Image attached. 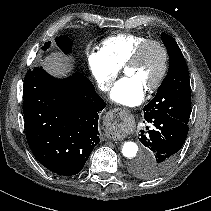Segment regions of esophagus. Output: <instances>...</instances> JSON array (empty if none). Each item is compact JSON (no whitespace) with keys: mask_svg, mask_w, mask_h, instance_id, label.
<instances>
[{"mask_svg":"<svg viewBox=\"0 0 211 211\" xmlns=\"http://www.w3.org/2000/svg\"><path fill=\"white\" fill-rule=\"evenodd\" d=\"M123 111H125L124 109L122 108H116V109H113L112 112L114 114H121ZM108 138H113L114 140H117L118 138H116L115 136L111 137L108 135Z\"/></svg>","mask_w":211,"mask_h":211,"instance_id":"1","label":"esophagus"}]
</instances>
